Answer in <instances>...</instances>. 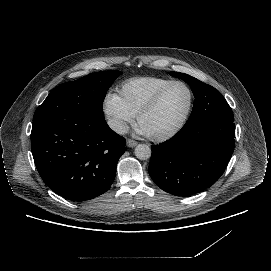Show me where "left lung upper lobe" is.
Returning <instances> with one entry per match:
<instances>
[{
	"label": "left lung upper lobe",
	"instance_id": "1",
	"mask_svg": "<svg viewBox=\"0 0 271 271\" xmlns=\"http://www.w3.org/2000/svg\"><path fill=\"white\" fill-rule=\"evenodd\" d=\"M169 74L191 85L195 100L191 116L187 123L203 117H233L228 103L214 87L184 73L169 72Z\"/></svg>",
	"mask_w": 271,
	"mask_h": 271
}]
</instances>
